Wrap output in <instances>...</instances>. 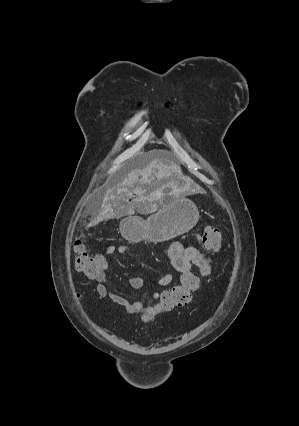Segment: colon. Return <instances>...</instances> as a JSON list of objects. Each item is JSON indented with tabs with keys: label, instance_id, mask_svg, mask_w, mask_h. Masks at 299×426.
<instances>
[{
	"label": "colon",
	"instance_id": "1",
	"mask_svg": "<svg viewBox=\"0 0 299 426\" xmlns=\"http://www.w3.org/2000/svg\"><path fill=\"white\" fill-rule=\"evenodd\" d=\"M199 240L204 250L212 255L218 254L222 248L221 232L215 226H206L200 234ZM73 253L75 267L80 273L89 278H95L101 272L102 256L89 254L81 240L75 242ZM199 287L198 276L191 271L185 272L178 283L157 291L153 296L154 303L159 305L163 312L172 311L186 305Z\"/></svg>",
	"mask_w": 299,
	"mask_h": 426
}]
</instances>
